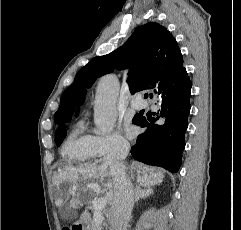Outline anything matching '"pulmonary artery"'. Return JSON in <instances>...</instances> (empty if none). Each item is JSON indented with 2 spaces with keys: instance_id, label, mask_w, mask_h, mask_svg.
I'll return each instance as SVG.
<instances>
[{
  "instance_id": "pulmonary-artery-1",
  "label": "pulmonary artery",
  "mask_w": 241,
  "mask_h": 230,
  "mask_svg": "<svg viewBox=\"0 0 241 230\" xmlns=\"http://www.w3.org/2000/svg\"><path fill=\"white\" fill-rule=\"evenodd\" d=\"M131 105L135 109H141V108L146 107L147 103L144 100L139 99V100L132 101Z\"/></svg>"
}]
</instances>
